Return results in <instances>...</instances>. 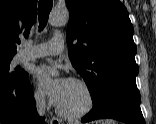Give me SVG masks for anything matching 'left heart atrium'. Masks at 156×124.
Instances as JSON below:
<instances>
[{
    "label": "left heart atrium",
    "instance_id": "obj_1",
    "mask_svg": "<svg viewBox=\"0 0 156 124\" xmlns=\"http://www.w3.org/2000/svg\"><path fill=\"white\" fill-rule=\"evenodd\" d=\"M35 77L47 89L56 104L62 98L63 93L70 82V79L67 77H55L53 75V69L50 66L45 65L36 69Z\"/></svg>",
    "mask_w": 156,
    "mask_h": 124
}]
</instances>
